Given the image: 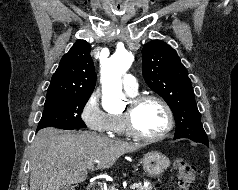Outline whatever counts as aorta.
Masks as SVG:
<instances>
[{
	"instance_id": "1",
	"label": "aorta",
	"mask_w": 238,
	"mask_h": 190,
	"mask_svg": "<svg viewBox=\"0 0 238 190\" xmlns=\"http://www.w3.org/2000/svg\"><path fill=\"white\" fill-rule=\"evenodd\" d=\"M132 62V53L122 50L115 52L102 64V105L106 111L122 106L124 94L122 93L121 76L131 67Z\"/></svg>"
}]
</instances>
